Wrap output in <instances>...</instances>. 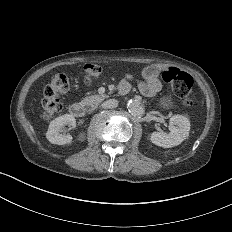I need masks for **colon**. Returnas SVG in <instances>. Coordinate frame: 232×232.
<instances>
[{"label":"colon","mask_w":232,"mask_h":232,"mask_svg":"<svg viewBox=\"0 0 232 232\" xmlns=\"http://www.w3.org/2000/svg\"><path fill=\"white\" fill-rule=\"evenodd\" d=\"M99 72H104V67L85 65V68H82V73L85 76H98ZM52 79H55V81H45L43 94L47 98H35V103H40V106L44 107V111H46V114H49V117H61V112L58 111L65 97L59 95L57 100H53L52 97H55L60 92H66L68 77H65V74H52ZM162 79L171 86H175V94L182 98V103L186 107L199 106V103L195 102L198 99V94L191 90L193 80L181 69H166L162 73Z\"/></svg>","instance_id":"colon-1"}]
</instances>
